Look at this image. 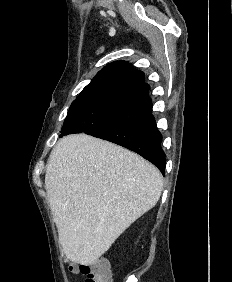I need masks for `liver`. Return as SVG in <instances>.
Segmentation results:
<instances>
[{
    "label": "liver",
    "mask_w": 232,
    "mask_h": 282,
    "mask_svg": "<svg viewBox=\"0 0 232 282\" xmlns=\"http://www.w3.org/2000/svg\"><path fill=\"white\" fill-rule=\"evenodd\" d=\"M45 189L64 254L74 263L91 265L156 205L163 178L130 150L74 134L53 148Z\"/></svg>",
    "instance_id": "obj_1"
}]
</instances>
